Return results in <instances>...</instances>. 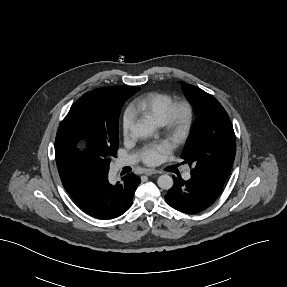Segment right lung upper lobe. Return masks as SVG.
Returning a JSON list of instances; mask_svg holds the SVG:
<instances>
[{
    "instance_id": "1",
    "label": "right lung upper lobe",
    "mask_w": 287,
    "mask_h": 287,
    "mask_svg": "<svg viewBox=\"0 0 287 287\" xmlns=\"http://www.w3.org/2000/svg\"><path fill=\"white\" fill-rule=\"evenodd\" d=\"M135 87L131 86H114V87H106L107 90L112 91L114 93L123 95L125 92L132 90ZM59 173H64L68 175H84L86 174L85 167L78 162L77 160L68 158L61 164H57Z\"/></svg>"
}]
</instances>
